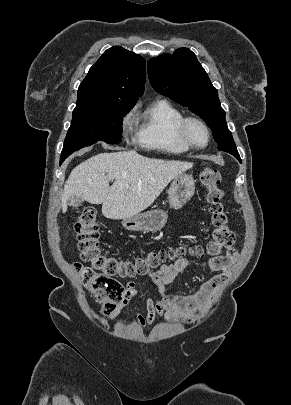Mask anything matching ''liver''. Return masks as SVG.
Masks as SVG:
<instances>
[{"mask_svg": "<svg viewBox=\"0 0 291 405\" xmlns=\"http://www.w3.org/2000/svg\"><path fill=\"white\" fill-rule=\"evenodd\" d=\"M191 167L189 162L148 158L136 151L95 155L70 173L62 195V212L76 197L91 204L102 203L106 218L132 217L148 208L171 180Z\"/></svg>", "mask_w": 291, "mask_h": 405, "instance_id": "liver-1", "label": "liver"}]
</instances>
